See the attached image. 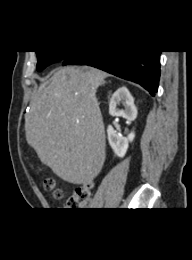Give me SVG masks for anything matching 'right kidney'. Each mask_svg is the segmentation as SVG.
Wrapping results in <instances>:
<instances>
[{"label": "right kidney", "mask_w": 192, "mask_h": 260, "mask_svg": "<svg viewBox=\"0 0 192 260\" xmlns=\"http://www.w3.org/2000/svg\"><path fill=\"white\" fill-rule=\"evenodd\" d=\"M122 104L124 109H119ZM109 114L114 117H123L127 121H134L137 117V108L134 99L126 87L119 88L111 97ZM108 141L114 153L123 158L127 152L129 142L133 141L135 133L131 132L127 137L116 133L111 125L107 128Z\"/></svg>", "instance_id": "1"}]
</instances>
